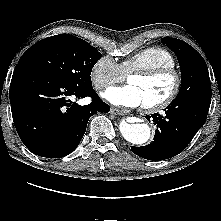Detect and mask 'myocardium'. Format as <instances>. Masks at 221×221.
<instances>
[{
	"label": "myocardium",
	"instance_id": "f54148a6",
	"mask_svg": "<svg viewBox=\"0 0 221 221\" xmlns=\"http://www.w3.org/2000/svg\"><path fill=\"white\" fill-rule=\"evenodd\" d=\"M169 75L173 77L174 84L171 92L164 99L150 104L143 105V109L147 112H159L168 108L177 98L180 93L182 86V76L180 72L175 67H157L152 69H139L130 72L127 76V80H129L132 76H139L144 78H156L159 76Z\"/></svg>",
	"mask_w": 221,
	"mask_h": 221
}]
</instances>
